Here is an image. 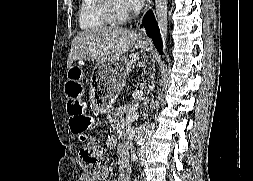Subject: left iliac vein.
<instances>
[{
    "label": "left iliac vein",
    "instance_id": "4c4485c4",
    "mask_svg": "<svg viewBox=\"0 0 253 181\" xmlns=\"http://www.w3.org/2000/svg\"><path fill=\"white\" fill-rule=\"evenodd\" d=\"M141 181H146V177H145L144 172H142V174H141Z\"/></svg>",
    "mask_w": 253,
    "mask_h": 181
}]
</instances>
